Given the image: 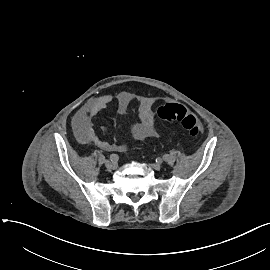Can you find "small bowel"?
<instances>
[{
  "instance_id": "obj_1",
  "label": "small bowel",
  "mask_w": 270,
  "mask_h": 270,
  "mask_svg": "<svg viewBox=\"0 0 270 270\" xmlns=\"http://www.w3.org/2000/svg\"><path fill=\"white\" fill-rule=\"evenodd\" d=\"M131 100V96L126 92H122L117 96L116 104L118 114L122 115L127 112ZM113 101L114 98L112 95L102 94L90 99L77 111L73 118L72 125L80 143H94L99 148L106 151L118 150L119 148L125 147V144L116 145L100 139L93 128L92 118L106 109ZM154 103L155 99L152 97H145L139 102V121L129 126V135L132 139L142 141L154 138L158 135L153 112Z\"/></svg>"
}]
</instances>
